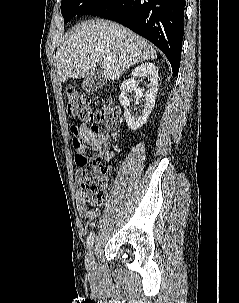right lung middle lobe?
<instances>
[{
  "label": "right lung middle lobe",
  "mask_w": 239,
  "mask_h": 303,
  "mask_svg": "<svg viewBox=\"0 0 239 303\" xmlns=\"http://www.w3.org/2000/svg\"><path fill=\"white\" fill-rule=\"evenodd\" d=\"M106 0H62L61 13L65 23L72 17L89 14Z\"/></svg>",
  "instance_id": "dd1d6c3e"
}]
</instances>
